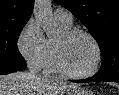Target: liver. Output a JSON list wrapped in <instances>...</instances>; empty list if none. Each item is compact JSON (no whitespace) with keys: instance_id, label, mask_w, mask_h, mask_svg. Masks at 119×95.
<instances>
[{"instance_id":"liver-1","label":"liver","mask_w":119,"mask_h":95,"mask_svg":"<svg viewBox=\"0 0 119 95\" xmlns=\"http://www.w3.org/2000/svg\"><path fill=\"white\" fill-rule=\"evenodd\" d=\"M77 85L28 72L0 75V95H64Z\"/></svg>"}]
</instances>
